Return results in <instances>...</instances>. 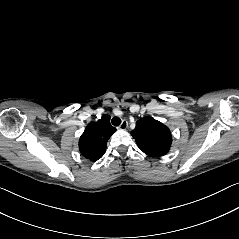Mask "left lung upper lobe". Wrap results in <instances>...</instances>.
<instances>
[{"label":"left lung upper lobe","instance_id":"obj_1","mask_svg":"<svg viewBox=\"0 0 239 239\" xmlns=\"http://www.w3.org/2000/svg\"><path fill=\"white\" fill-rule=\"evenodd\" d=\"M131 135L141 151L151 157L165 155L172 143L169 128L152 117L139 119Z\"/></svg>","mask_w":239,"mask_h":239}]
</instances>
